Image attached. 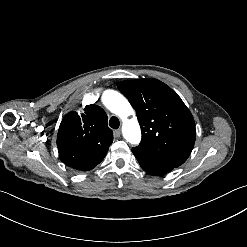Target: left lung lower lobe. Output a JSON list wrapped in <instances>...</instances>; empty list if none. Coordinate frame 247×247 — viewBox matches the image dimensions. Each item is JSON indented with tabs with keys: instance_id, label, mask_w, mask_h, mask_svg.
<instances>
[{
	"instance_id": "obj_1",
	"label": "left lung lower lobe",
	"mask_w": 247,
	"mask_h": 247,
	"mask_svg": "<svg viewBox=\"0 0 247 247\" xmlns=\"http://www.w3.org/2000/svg\"><path fill=\"white\" fill-rule=\"evenodd\" d=\"M132 152L135 155L136 159L138 160L142 169L150 175L153 176L164 175L172 171L174 168H176L172 165L166 164L160 160L152 158L147 153L138 151L135 148H132Z\"/></svg>"
}]
</instances>
